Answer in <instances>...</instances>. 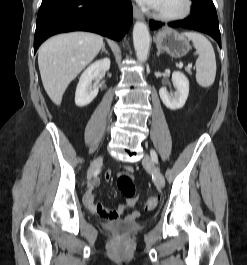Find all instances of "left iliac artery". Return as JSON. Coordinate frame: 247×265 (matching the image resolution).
<instances>
[{"mask_svg": "<svg viewBox=\"0 0 247 265\" xmlns=\"http://www.w3.org/2000/svg\"><path fill=\"white\" fill-rule=\"evenodd\" d=\"M150 153H151V158H152L153 162L158 164V158H157L156 152L154 150H151Z\"/></svg>", "mask_w": 247, "mask_h": 265, "instance_id": "44dca946", "label": "left iliac artery"}]
</instances>
